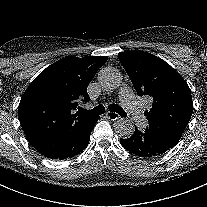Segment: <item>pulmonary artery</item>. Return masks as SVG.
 Here are the masks:
<instances>
[{
    "mask_svg": "<svg viewBox=\"0 0 207 207\" xmlns=\"http://www.w3.org/2000/svg\"><path fill=\"white\" fill-rule=\"evenodd\" d=\"M120 98L125 103L131 121L134 124H141L144 121V114L134 92L130 88H123L120 91Z\"/></svg>",
    "mask_w": 207,
    "mask_h": 207,
    "instance_id": "obj_1",
    "label": "pulmonary artery"
}]
</instances>
